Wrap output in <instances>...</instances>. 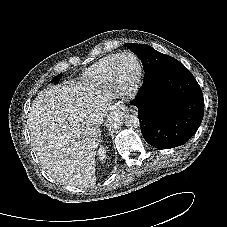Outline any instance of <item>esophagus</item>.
Segmentation results:
<instances>
[{"instance_id": "1", "label": "esophagus", "mask_w": 227, "mask_h": 227, "mask_svg": "<svg viewBox=\"0 0 227 227\" xmlns=\"http://www.w3.org/2000/svg\"><path fill=\"white\" fill-rule=\"evenodd\" d=\"M114 110L117 111V112H120V107H119L118 104L114 106Z\"/></svg>"}]
</instances>
